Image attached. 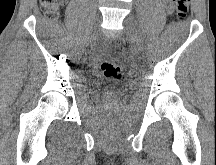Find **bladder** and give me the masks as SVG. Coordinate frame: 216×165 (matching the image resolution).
<instances>
[{"instance_id": "31cf9c89", "label": "bladder", "mask_w": 216, "mask_h": 165, "mask_svg": "<svg viewBox=\"0 0 216 165\" xmlns=\"http://www.w3.org/2000/svg\"><path fill=\"white\" fill-rule=\"evenodd\" d=\"M109 96H110V97H115V96H116V93H115V92H110V93H109Z\"/></svg>"}]
</instances>
